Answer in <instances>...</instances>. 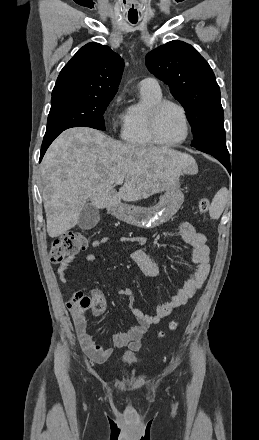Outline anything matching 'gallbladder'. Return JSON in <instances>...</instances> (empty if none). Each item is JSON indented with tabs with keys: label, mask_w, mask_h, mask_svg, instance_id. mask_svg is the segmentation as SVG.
<instances>
[{
	"label": "gallbladder",
	"mask_w": 259,
	"mask_h": 440,
	"mask_svg": "<svg viewBox=\"0 0 259 440\" xmlns=\"http://www.w3.org/2000/svg\"><path fill=\"white\" fill-rule=\"evenodd\" d=\"M100 220L99 210L91 203H87L79 216L78 226L82 230L94 228Z\"/></svg>",
	"instance_id": "gallbladder-1"
}]
</instances>
